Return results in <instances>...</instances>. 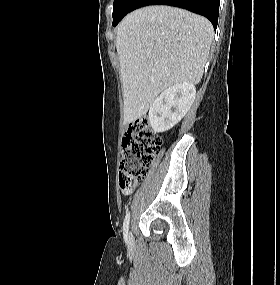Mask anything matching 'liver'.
I'll return each mask as SVG.
<instances>
[{
    "instance_id": "1",
    "label": "liver",
    "mask_w": 280,
    "mask_h": 285,
    "mask_svg": "<svg viewBox=\"0 0 280 285\" xmlns=\"http://www.w3.org/2000/svg\"><path fill=\"white\" fill-rule=\"evenodd\" d=\"M213 35L206 18L183 9L149 6L128 14L116 35L124 123L145 115L166 88L199 83Z\"/></svg>"
}]
</instances>
